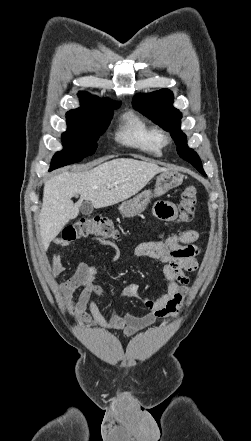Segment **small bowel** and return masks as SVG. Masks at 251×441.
<instances>
[{
  "label": "small bowel",
  "instance_id": "small-bowel-1",
  "mask_svg": "<svg viewBox=\"0 0 251 441\" xmlns=\"http://www.w3.org/2000/svg\"><path fill=\"white\" fill-rule=\"evenodd\" d=\"M154 213L159 219L166 221H173L178 217L175 205L167 201L157 202ZM198 239L199 232L190 229L172 235L164 241H148L136 246L134 251L136 256L154 259L162 265L167 282L166 291L159 298L142 300L147 313L141 316L131 313L119 314L113 310L106 318L93 299L94 295H105L104 288L97 284L100 267L98 264L79 263L74 273L60 284L62 294L69 301V309L74 319L82 326L103 327L133 335L153 324L158 318L177 315L189 290V278L186 273L194 272L198 268L196 259L198 247L195 244ZM97 241L110 245L107 240ZM56 244L67 247L70 243L58 240ZM118 258V253H114L110 261L114 263ZM51 266L55 275H62L67 270L58 254L53 256ZM77 291L79 295L74 299ZM120 295L140 299L139 285L135 283L127 285Z\"/></svg>",
  "mask_w": 251,
  "mask_h": 441
}]
</instances>
